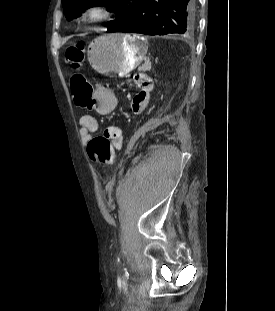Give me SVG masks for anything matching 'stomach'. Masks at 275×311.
<instances>
[{"label": "stomach", "instance_id": "1", "mask_svg": "<svg viewBox=\"0 0 275 311\" xmlns=\"http://www.w3.org/2000/svg\"><path fill=\"white\" fill-rule=\"evenodd\" d=\"M147 40L136 34H107L94 39L87 50L91 67L106 76H126L144 60Z\"/></svg>", "mask_w": 275, "mask_h": 311}]
</instances>
